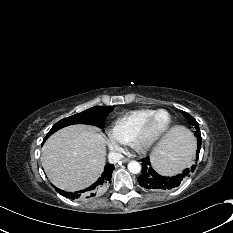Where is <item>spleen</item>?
Returning a JSON list of instances; mask_svg holds the SVG:
<instances>
[{"instance_id":"1","label":"spleen","mask_w":233,"mask_h":233,"mask_svg":"<svg viewBox=\"0 0 233 233\" xmlns=\"http://www.w3.org/2000/svg\"><path fill=\"white\" fill-rule=\"evenodd\" d=\"M182 127H183V132L186 133L187 135H189L190 138L192 139L194 146H195V152H196L197 142H196L195 137L189 132V130L185 126L182 125ZM194 160H195V155H194V158H193L192 162L190 163V165L187 166L186 168H189L194 163ZM186 168H184V169H186ZM167 172L168 173H175V171H170V170H167Z\"/></svg>"}]
</instances>
